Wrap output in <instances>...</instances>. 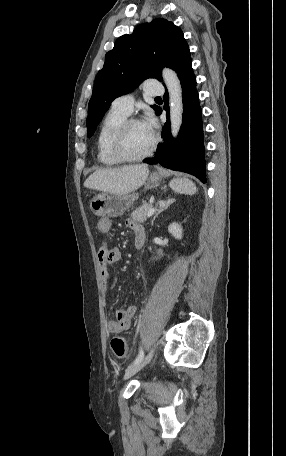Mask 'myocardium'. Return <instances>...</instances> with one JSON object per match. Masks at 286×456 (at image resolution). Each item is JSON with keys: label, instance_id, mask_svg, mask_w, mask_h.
<instances>
[{"label": "myocardium", "instance_id": "1", "mask_svg": "<svg viewBox=\"0 0 286 456\" xmlns=\"http://www.w3.org/2000/svg\"><path fill=\"white\" fill-rule=\"evenodd\" d=\"M142 121L136 118H126L117 128L115 131L112 141H111V151L112 154L120 161V162H139L143 161L146 158L150 157L153 152L155 151L158 140L157 137L152 134V143L150 145V148L140 156L136 157H131L128 156L124 150H123V143H124V138L126 135L127 130L129 129L130 126L134 124H141Z\"/></svg>", "mask_w": 286, "mask_h": 456}]
</instances>
